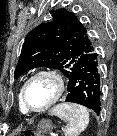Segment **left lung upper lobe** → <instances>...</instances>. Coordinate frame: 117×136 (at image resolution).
<instances>
[{
	"instance_id": "left-lung-upper-lobe-1",
	"label": "left lung upper lobe",
	"mask_w": 117,
	"mask_h": 136,
	"mask_svg": "<svg viewBox=\"0 0 117 136\" xmlns=\"http://www.w3.org/2000/svg\"><path fill=\"white\" fill-rule=\"evenodd\" d=\"M54 19L28 33L15 69V79L32 68L59 69L67 78L77 60L93 49V40L74 13L51 11Z\"/></svg>"
}]
</instances>
